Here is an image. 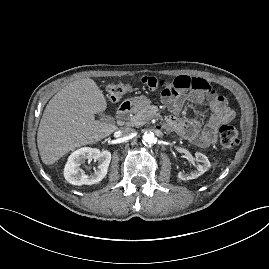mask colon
<instances>
[{"instance_id":"obj_1","label":"colon","mask_w":269,"mask_h":269,"mask_svg":"<svg viewBox=\"0 0 269 269\" xmlns=\"http://www.w3.org/2000/svg\"><path fill=\"white\" fill-rule=\"evenodd\" d=\"M149 80V78H148ZM147 80V85H148ZM149 86V85H148ZM150 88V87H149ZM132 87L129 83H111L107 86V94L113 101L121 99L124 95L131 91ZM174 93L165 98L170 97ZM219 140L223 148L231 149L234 148L239 142V136L237 130L231 125H222L219 130Z\"/></svg>"}]
</instances>
